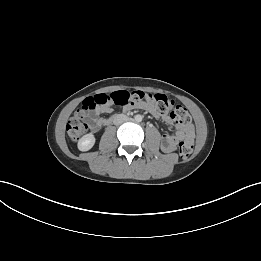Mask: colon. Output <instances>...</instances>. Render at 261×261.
Segmentation results:
<instances>
[{
    "instance_id": "5ec220e1",
    "label": "colon",
    "mask_w": 261,
    "mask_h": 261,
    "mask_svg": "<svg viewBox=\"0 0 261 261\" xmlns=\"http://www.w3.org/2000/svg\"><path fill=\"white\" fill-rule=\"evenodd\" d=\"M110 105L119 107L151 106L160 114H167L172 121L186 125L190 123L191 116L188 110L181 106H174L173 102L162 94H147L142 91H116L111 94H99L89 97L82 102L81 108L69 119L66 125V133L71 141H77L88 130L87 119L97 110L104 109ZM193 142L184 140L179 145V154L188 159L193 153Z\"/></svg>"
}]
</instances>
